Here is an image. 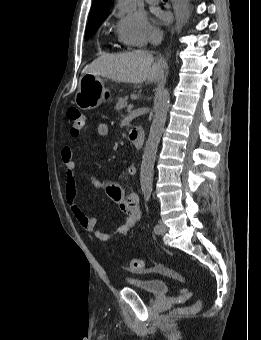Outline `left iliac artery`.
<instances>
[{
    "mask_svg": "<svg viewBox=\"0 0 261 340\" xmlns=\"http://www.w3.org/2000/svg\"><path fill=\"white\" fill-rule=\"evenodd\" d=\"M149 198H150V193L146 194V200H149ZM159 228H160L159 225L156 224V225L154 226V232L158 231Z\"/></svg>",
    "mask_w": 261,
    "mask_h": 340,
    "instance_id": "obj_1",
    "label": "left iliac artery"
}]
</instances>
